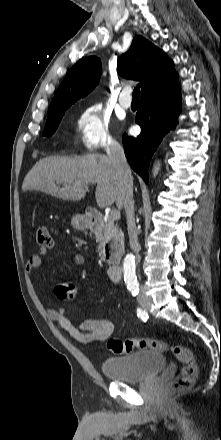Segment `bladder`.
I'll use <instances>...</instances> for the list:
<instances>
[{
  "label": "bladder",
  "mask_w": 221,
  "mask_h": 440,
  "mask_svg": "<svg viewBox=\"0 0 221 440\" xmlns=\"http://www.w3.org/2000/svg\"><path fill=\"white\" fill-rule=\"evenodd\" d=\"M166 366V358L158 351L140 350L103 360L101 370L112 381L144 382L158 375Z\"/></svg>",
  "instance_id": "31cf9c89"
}]
</instances>
